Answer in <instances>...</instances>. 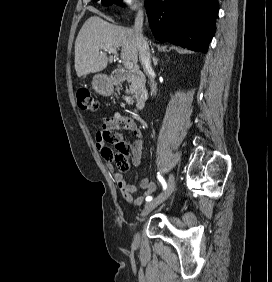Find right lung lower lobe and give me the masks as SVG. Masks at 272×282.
Returning <instances> with one entry per match:
<instances>
[{
    "label": "right lung lower lobe",
    "instance_id": "1",
    "mask_svg": "<svg viewBox=\"0 0 272 282\" xmlns=\"http://www.w3.org/2000/svg\"><path fill=\"white\" fill-rule=\"evenodd\" d=\"M146 9L158 41L207 52L216 30L217 0H146Z\"/></svg>",
    "mask_w": 272,
    "mask_h": 282
}]
</instances>
